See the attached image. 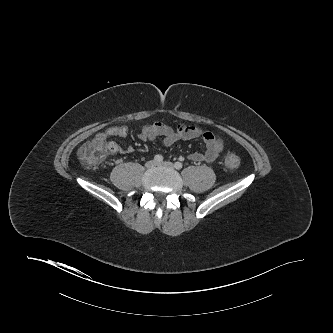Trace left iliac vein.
<instances>
[{
  "label": "left iliac vein",
  "instance_id": "left-iliac-vein-1",
  "mask_svg": "<svg viewBox=\"0 0 333 333\" xmlns=\"http://www.w3.org/2000/svg\"><path fill=\"white\" fill-rule=\"evenodd\" d=\"M157 165H158V166H161V167L174 168L173 163L168 162V161H166V162H162V163H158Z\"/></svg>",
  "mask_w": 333,
  "mask_h": 333
}]
</instances>
